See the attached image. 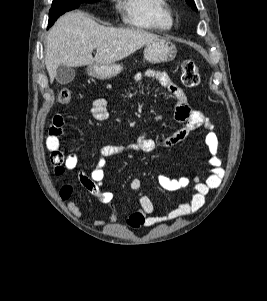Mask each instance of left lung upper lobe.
Wrapping results in <instances>:
<instances>
[{"instance_id":"1","label":"left lung upper lobe","mask_w":267,"mask_h":301,"mask_svg":"<svg viewBox=\"0 0 267 301\" xmlns=\"http://www.w3.org/2000/svg\"><path fill=\"white\" fill-rule=\"evenodd\" d=\"M186 2L195 10L197 11L196 5L194 0H186Z\"/></svg>"}]
</instances>
